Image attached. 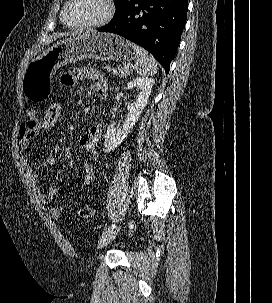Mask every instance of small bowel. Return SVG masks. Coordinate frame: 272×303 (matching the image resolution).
Returning <instances> with one entry per match:
<instances>
[{
  "mask_svg": "<svg viewBox=\"0 0 272 303\" xmlns=\"http://www.w3.org/2000/svg\"><path fill=\"white\" fill-rule=\"evenodd\" d=\"M90 80L93 82L97 94L101 98H105L108 92L106 80L102 74L93 68H77L63 74L60 81L64 86L73 87L81 80ZM39 116L35 112H30L21 125L20 140L18 143V155L21 168L25 178L31 184L36 198L43 204L52 203L57 188L51 186L47 192H43L38 185V174L30 163L28 150L33 140L40 137L39 133ZM102 134L101 124H94L86 132H84L79 139V147L83 150L91 161H96L99 157L97 150V142ZM56 159L53 155H48L45 160L39 165V169H44L47 166H55ZM84 180L82 187L87 188L95 179V170L91 162L83 164ZM50 213L54 217H61L63 208L56 206L50 208Z\"/></svg>",
  "mask_w": 272,
  "mask_h": 303,
  "instance_id": "c3829d8e",
  "label": "small bowel"
}]
</instances>
